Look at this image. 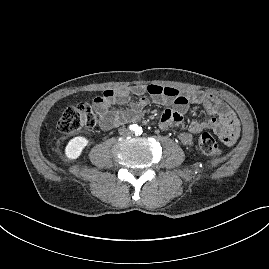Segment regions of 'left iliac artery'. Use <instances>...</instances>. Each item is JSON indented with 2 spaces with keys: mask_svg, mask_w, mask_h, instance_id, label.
<instances>
[{
  "mask_svg": "<svg viewBox=\"0 0 269 269\" xmlns=\"http://www.w3.org/2000/svg\"><path fill=\"white\" fill-rule=\"evenodd\" d=\"M141 133H142V131H141V128H140V129L137 130V133H136V134H137V135H138V134L140 135Z\"/></svg>",
  "mask_w": 269,
  "mask_h": 269,
  "instance_id": "44dca946",
  "label": "left iliac artery"
}]
</instances>
